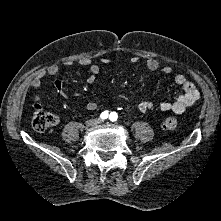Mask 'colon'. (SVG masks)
Listing matches in <instances>:
<instances>
[{"mask_svg":"<svg viewBox=\"0 0 221 221\" xmlns=\"http://www.w3.org/2000/svg\"><path fill=\"white\" fill-rule=\"evenodd\" d=\"M56 122L57 117L54 114L46 113L41 108H36L32 120V126L36 131H45ZM162 126L165 130L174 131L179 127V122L175 117H168L163 121Z\"/></svg>","mask_w":221,"mask_h":221,"instance_id":"colon-1","label":"colon"}]
</instances>
